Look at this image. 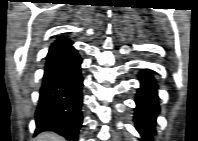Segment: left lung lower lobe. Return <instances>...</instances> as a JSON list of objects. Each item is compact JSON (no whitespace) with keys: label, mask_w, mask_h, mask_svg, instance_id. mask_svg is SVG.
Instances as JSON below:
<instances>
[{"label":"left lung lower lobe","mask_w":198,"mask_h":141,"mask_svg":"<svg viewBox=\"0 0 198 141\" xmlns=\"http://www.w3.org/2000/svg\"><path fill=\"white\" fill-rule=\"evenodd\" d=\"M138 76L141 87L136 94L134 122L143 141H152L156 133V118L160 111L157 81L150 69L141 70Z\"/></svg>","instance_id":"1"}]
</instances>
